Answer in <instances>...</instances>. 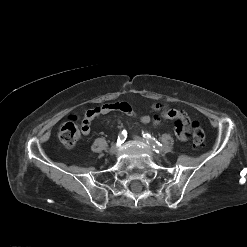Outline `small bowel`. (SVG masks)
Returning a JSON list of instances; mask_svg holds the SVG:
<instances>
[{
    "mask_svg": "<svg viewBox=\"0 0 247 247\" xmlns=\"http://www.w3.org/2000/svg\"><path fill=\"white\" fill-rule=\"evenodd\" d=\"M113 111L124 112L129 116H134V110L131 105L126 102H116L111 104H104L100 107L88 110L82 121V131L85 135L90 133L91 123L100 116L106 115ZM164 118L172 119L176 122L175 133L180 140H186L188 135V123L189 118L185 112L179 109H170L163 114ZM140 121L147 124L151 121V117L148 115H142Z\"/></svg>",
    "mask_w": 247,
    "mask_h": 247,
    "instance_id": "1",
    "label": "small bowel"
}]
</instances>
